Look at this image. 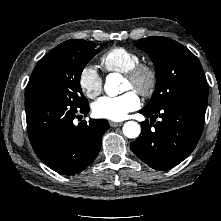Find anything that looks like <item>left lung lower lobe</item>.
<instances>
[{"mask_svg":"<svg viewBox=\"0 0 221 221\" xmlns=\"http://www.w3.org/2000/svg\"><path fill=\"white\" fill-rule=\"evenodd\" d=\"M207 97L186 95L156 110L139 113L152 119L142 123L141 135L130 144L131 150L156 170H168L181 163L196 147L203 130Z\"/></svg>","mask_w":221,"mask_h":221,"instance_id":"obj_1","label":"left lung lower lobe"}]
</instances>
